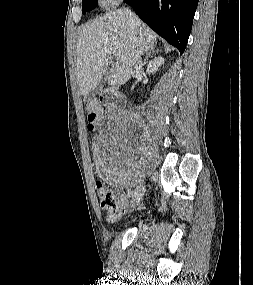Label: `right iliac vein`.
I'll list each match as a JSON object with an SVG mask.
<instances>
[{
    "label": "right iliac vein",
    "mask_w": 253,
    "mask_h": 285,
    "mask_svg": "<svg viewBox=\"0 0 253 285\" xmlns=\"http://www.w3.org/2000/svg\"><path fill=\"white\" fill-rule=\"evenodd\" d=\"M144 193H145V186L144 185H140L135 189L133 199L131 201V207H134L137 203L140 202Z\"/></svg>",
    "instance_id": "obj_1"
}]
</instances>
